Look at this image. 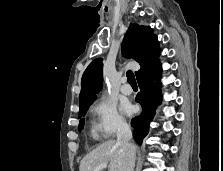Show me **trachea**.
Here are the masks:
<instances>
[{
    "mask_svg": "<svg viewBox=\"0 0 223 171\" xmlns=\"http://www.w3.org/2000/svg\"><path fill=\"white\" fill-rule=\"evenodd\" d=\"M127 76V80L128 82L132 85V84H136V79L134 76V73L131 70H128L126 73Z\"/></svg>",
    "mask_w": 223,
    "mask_h": 171,
    "instance_id": "1",
    "label": "trachea"
}]
</instances>
